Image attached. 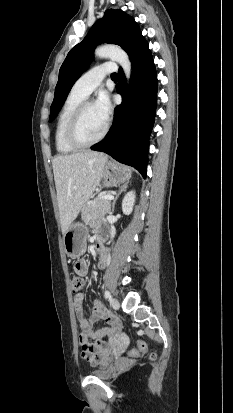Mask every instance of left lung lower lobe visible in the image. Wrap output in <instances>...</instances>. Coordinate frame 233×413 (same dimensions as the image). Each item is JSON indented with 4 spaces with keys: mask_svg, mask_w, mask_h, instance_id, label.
<instances>
[{
    "mask_svg": "<svg viewBox=\"0 0 233 413\" xmlns=\"http://www.w3.org/2000/svg\"><path fill=\"white\" fill-rule=\"evenodd\" d=\"M133 64L131 84L126 86L123 70L117 92L123 102L115 108L113 124L104 140L92 150L105 152L117 161L147 173L149 137L157 102V75L148 43L144 40L129 52Z\"/></svg>",
    "mask_w": 233,
    "mask_h": 413,
    "instance_id": "obj_1",
    "label": "left lung lower lobe"
}]
</instances>
